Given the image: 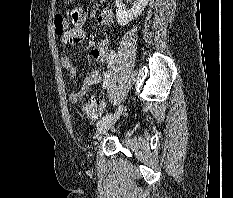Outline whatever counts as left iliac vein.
Here are the masks:
<instances>
[{"mask_svg":"<svg viewBox=\"0 0 233 198\" xmlns=\"http://www.w3.org/2000/svg\"><path fill=\"white\" fill-rule=\"evenodd\" d=\"M123 109V105H119L118 109L109 116L107 120L102 121L97 127V137L108 130L119 118Z\"/></svg>","mask_w":233,"mask_h":198,"instance_id":"obj_1","label":"left iliac vein"}]
</instances>
